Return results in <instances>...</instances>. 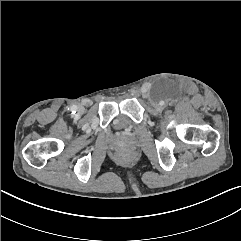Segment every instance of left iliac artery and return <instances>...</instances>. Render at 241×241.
<instances>
[{
    "label": "left iliac artery",
    "instance_id": "obj_1",
    "mask_svg": "<svg viewBox=\"0 0 241 241\" xmlns=\"http://www.w3.org/2000/svg\"><path fill=\"white\" fill-rule=\"evenodd\" d=\"M160 104H161V105H164V102L162 101Z\"/></svg>",
    "mask_w": 241,
    "mask_h": 241
}]
</instances>
